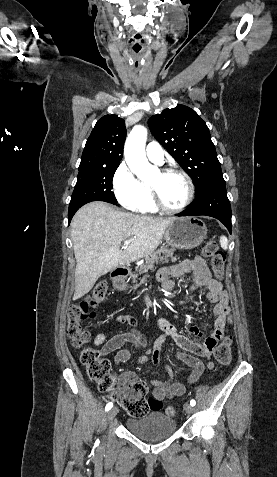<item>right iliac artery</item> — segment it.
Wrapping results in <instances>:
<instances>
[{"label": "right iliac artery", "instance_id": "82829eb1", "mask_svg": "<svg viewBox=\"0 0 277 477\" xmlns=\"http://www.w3.org/2000/svg\"><path fill=\"white\" fill-rule=\"evenodd\" d=\"M113 407V403H108L105 407V411H109Z\"/></svg>", "mask_w": 277, "mask_h": 477}]
</instances>
